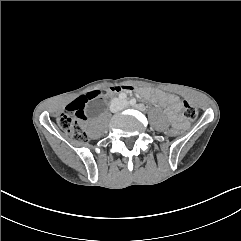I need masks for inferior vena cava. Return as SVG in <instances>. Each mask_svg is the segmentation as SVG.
Listing matches in <instances>:
<instances>
[{"label":"inferior vena cava","mask_w":241,"mask_h":241,"mask_svg":"<svg viewBox=\"0 0 241 241\" xmlns=\"http://www.w3.org/2000/svg\"><path fill=\"white\" fill-rule=\"evenodd\" d=\"M123 107H124V106H123ZM123 107H119V108H117L116 110L123 109Z\"/></svg>","instance_id":"602c4592"}]
</instances>
